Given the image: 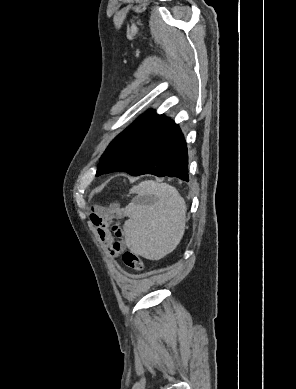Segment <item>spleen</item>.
Returning <instances> with one entry per match:
<instances>
[{
  "instance_id": "spleen-1",
  "label": "spleen",
  "mask_w": 296,
  "mask_h": 389,
  "mask_svg": "<svg viewBox=\"0 0 296 389\" xmlns=\"http://www.w3.org/2000/svg\"><path fill=\"white\" fill-rule=\"evenodd\" d=\"M130 193L137 197L126 208V245L137 255L159 260L171 253L184 235L185 200L175 187L152 180L132 187Z\"/></svg>"
}]
</instances>
